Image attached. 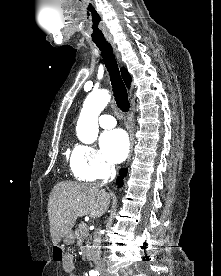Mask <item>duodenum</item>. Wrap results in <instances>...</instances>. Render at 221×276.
I'll use <instances>...</instances> for the list:
<instances>
[{
    "label": "duodenum",
    "mask_w": 221,
    "mask_h": 276,
    "mask_svg": "<svg viewBox=\"0 0 221 276\" xmlns=\"http://www.w3.org/2000/svg\"><path fill=\"white\" fill-rule=\"evenodd\" d=\"M87 256H90V250L89 249L87 250Z\"/></svg>",
    "instance_id": "duodenum-1"
}]
</instances>
